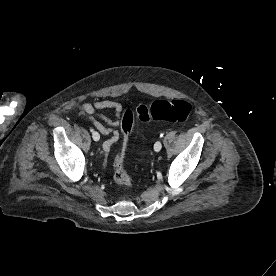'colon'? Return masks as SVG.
<instances>
[{"instance_id":"5ec220e1","label":"colon","mask_w":276,"mask_h":276,"mask_svg":"<svg viewBox=\"0 0 276 276\" xmlns=\"http://www.w3.org/2000/svg\"><path fill=\"white\" fill-rule=\"evenodd\" d=\"M192 112V105L185 100H157L150 105L140 104L135 112L126 110L122 115L123 130L129 133L132 129L134 116L143 122L166 120L183 122ZM115 183L122 188H131L132 180L128 174L124 159H120L114 169Z\"/></svg>"}]
</instances>
